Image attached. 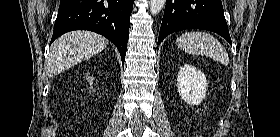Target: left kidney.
I'll use <instances>...</instances> for the list:
<instances>
[{
    "label": "left kidney",
    "mask_w": 280,
    "mask_h": 137,
    "mask_svg": "<svg viewBox=\"0 0 280 137\" xmlns=\"http://www.w3.org/2000/svg\"><path fill=\"white\" fill-rule=\"evenodd\" d=\"M178 92L187 104L198 105L206 96L208 82L204 73L196 67L185 64L177 77Z\"/></svg>",
    "instance_id": "1"
}]
</instances>
